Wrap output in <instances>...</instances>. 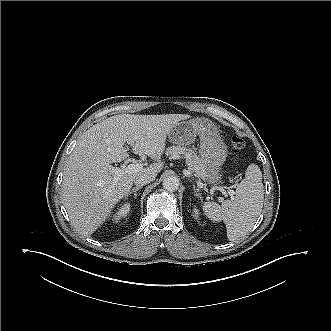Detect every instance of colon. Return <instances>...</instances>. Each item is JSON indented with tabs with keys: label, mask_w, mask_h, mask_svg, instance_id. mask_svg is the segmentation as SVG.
<instances>
[{
	"label": "colon",
	"mask_w": 331,
	"mask_h": 331,
	"mask_svg": "<svg viewBox=\"0 0 331 331\" xmlns=\"http://www.w3.org/2000/svg\"><path fill=\"white\" fill-rule=\"evenodd\" d=\"M232 143H233L234 147L237 149H241L244 146V141L238 137H233Z\"/></svg>",
	"instance_id": "obj_1"
}]
</instances>
